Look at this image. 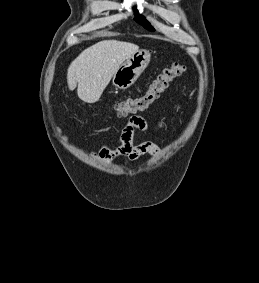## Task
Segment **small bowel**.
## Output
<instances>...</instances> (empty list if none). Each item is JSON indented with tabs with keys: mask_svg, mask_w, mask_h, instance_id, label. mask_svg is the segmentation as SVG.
I'll list each match as a JSON object with an SVG mask.
<instances>
[{
	"mask_svg": "<svg viewBox=\"0 0 259 283\" xmlns=\"http://www.w3.org/2000/svg\"><path fill=\"white\" fill-rule=\"evenodd\" d=\"M163 127L162 123H158L155 127L159 130ZM148 129L147 121L138 115L131 116L121 132V145L115 149L102 147L94 155L105 163H111L116 158L122 157L129 161H135L142 155L158 156L160 154L159 146L153 141H143L134 143L133 137L135 132L146 131Z\"/></svg>",
	"mask_w": 259,
	"mask_h": 283,
	"instance_id": "small-bowel-1",
	"label": "small bowel"
}]
</instances>
